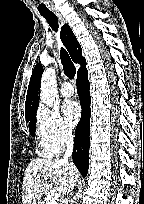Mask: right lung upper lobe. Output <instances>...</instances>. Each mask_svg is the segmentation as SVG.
Segmentation results:
<instances>
[{
    "label": "right lung upper lobe",
    "instance_id": "1",
    "mask_svg": "<svg viewBox=\"0 0 144 204\" xmlns=\"http://www.w3.org/2000/svg\"><path fill=\"white\" fill-rule=\"evenodd\" d=\"M61 39L64 46L67 48L72 60L75 63H78L81 65L80 69L85 67L86 60L82 56L81 46L78 43L73 31L68 25H64L61 28ZM42 73H43V67L41 64L38 63L33 69L28 91H27L26 102H25L26 119L36 115V111L39 105L38 92L40 88Z\"/></svg>",
    "mask_w": 144,
    "mask_h": 204
}]
</instances>
